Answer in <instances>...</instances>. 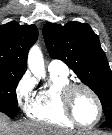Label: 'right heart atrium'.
Segmentation results:
<instances>
[{"label":"right heart atrium","instance_id":"d8ad5b80","mask_svg":"<svg viewBox=\"0 0 112 135\" xmlns=\"http://www.w3.org/2000/svg\"><path fill=\"white\" fill-rule=\"evenodd\" d=\"M35 96V81L29 74H24L15 88V97L19 107L27 111Z\"/></svg>","mask_w":112,"mask_h":135}]
</instances>
